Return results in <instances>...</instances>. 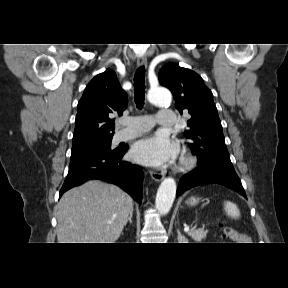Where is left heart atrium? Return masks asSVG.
I'll return each instance as SVG.
<instances>
[{"label": "left heart atrium", "instance_id": "1", "mask_svg": "<svg viewBox=\"0 0 288 288\" xmlns=\"http://www.w3.org/2000/svg\"><path fill=\"white\" fill-rule=\"evenodd\" d=\"M132 158L142 164L163 166L177 155V145L167 134L158 132L138 140L132 147Z\"/></svg>", "mask_w": 288, "mask_h": 288}]
</instances>
